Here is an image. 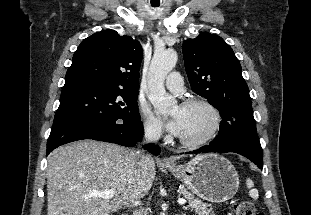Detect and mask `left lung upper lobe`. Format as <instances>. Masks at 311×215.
<instances>
[{
  "label": "left lung upper lobe",
  "instance_id": "1",
  "mask_svg": "<svg viewBox=\"0 0 311 215\" xmlns=\"http://www.w3.org/2000/svg\"><path fill=\"white\" fill-rule=\"evenodd\" d=\"M182 49L192 90L208 99L222 117L214 140L257 134L249 89L231 47L221 37L204 32L185 40Z\"/></svg>",
  "mask_w": 311,
  "mask_h": 215
}]
</instances>
